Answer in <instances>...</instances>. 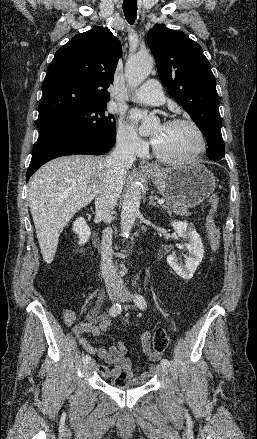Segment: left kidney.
<instances>
[{
  "label": "left kidney",
  "instance_id": "obj_1",
  "mask_svg": "<svg viewBox=\"0 0 257 439\" xmlns=\"http://www.w3.org/2000/svg\"><path fill=\"white\" fill-rule=\"evenodd\" d=\"M171 226L176 229L179 237L186 241L184 246L187 249L188 255L185 256V264L179 262L174 254L167 257V262L178 276L185 280H189L193 277L196 268L203 259V243L194 227L187 222L173 221Z\"/></svg>",
  "mask_w": 257,
  "mask_h": 439
}]
</instances>
